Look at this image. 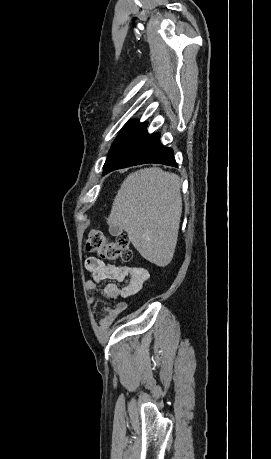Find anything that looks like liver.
Wrapping results in <instances>:
<instances>
[{
	"label": "liver",
	"mask_w": 271,
	"mask_h": 459,
	"mask_svg": "<svg viewBox=\"0 0 271 459\" xmlns=\"http://www.w3.org/2000/svg\"><path fill=\"white\" fill-rule=\"evenodd\" d=\"M179 176L144 168L125 178L114 198L110 226L125 229L142 257L165 267L170 263L182 212Z\"/></svg>",
	"instance_id": "liver-1"
}]
</instances>
